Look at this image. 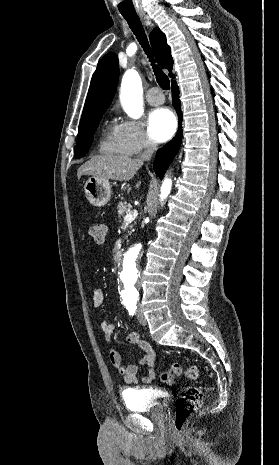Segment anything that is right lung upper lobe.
I'll return each instance as SVG.
<instances>
[{
	"label": "right lung upper lobe",
	"mask_w": 279,
	"mask_h": 465,
	"mask_svg": "<svg viewBox=\"0 0 279 465\" xmlns=\"http://www.w3.org/2000/svg\"><path fill=\"white\" fill-rule=\"evenodd\" d=\"M150 42L159 65L168 69L169 76L173 78V59L164 33L159 28H154L150 34ZM118 76V57L109 52L99 61L92 76L79 127L88 124L108 108L117 87Z\"/></svg>",
	"instance_id": "right-lung-upper-lobe-1"
}]
</instances>
